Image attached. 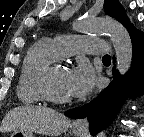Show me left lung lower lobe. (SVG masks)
<instances>
[{
	"instance_id": "obj_1",
	"label": "left lung lower lobe",
	"mask_w": 144,
	"mask_h": 137,
	"mask_svg": "<svg viewBox=\"0 0 144 137\" xmlns=\"http://www.w3.org/2000/svg\"><path fill=\"white\" fill-rule=\"evenodd\" d=\"M132 40L133 61L129 73L121 76L112 70L114 80L92 102L66 111L71 118H87L92 135L107 127L120 110L125 98L142 95L144 91V33L133 28L129 31ZM115 62V61H114Z\"/></svg>"
}]
</instances>
